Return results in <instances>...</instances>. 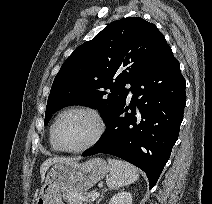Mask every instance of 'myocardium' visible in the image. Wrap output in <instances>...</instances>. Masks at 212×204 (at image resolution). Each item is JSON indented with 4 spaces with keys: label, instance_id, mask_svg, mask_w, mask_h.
Masks as SVG:
<instances>
[{
    "label": "myocardium",
    "instance_id": "myocardium-1",
    "mask_svg": "<svg viewBox=\"0 0 212 204\" xmlns=\"http://www.w3.org/2000/svg\"><path fill=\"white\" fill-rule=\"evenodd\" d=\"M70 113H81L84 115H87L91 118V120L94 123V133L92 137L82 146L76 147V148H67L64 147L58 140L57 137V126L60 120L67 114ZM105 132V123L103 120L102 115L95 109L89 108V107H83V106H75L70 107L65 110H63L55 119L52 127H51V135L52 139L55 143V145L58 147L59 150L68 152V153H81L84 152L90 148H92L95 144L98 143V141L101 139Z\"/></svg>",
    "mask_w": 212,
    "mask_h": 204
}]
</instances>
